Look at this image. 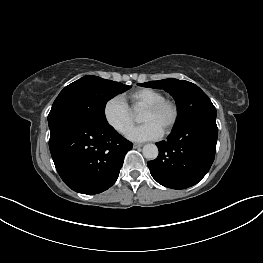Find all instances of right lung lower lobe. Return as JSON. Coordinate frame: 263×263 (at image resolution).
<instances>
[{"mask_svg": "<svg viewBox=\"0 0 263 263\" xmlns=\"http://www.w3.org/2000/svg\"><path fill=\"white\" fill-rule=\"evenodd\" d=\"M49 128V148L57 172L68 187L83 194L110 188L133 147L109 124L64 119Z\"/></svg>", "mask_w": 263, "mask_h": 263, "instance_id": "right-lung-lower-lobe-1", "label": "right lung lower lobe"}]
</instances>
